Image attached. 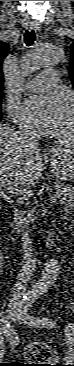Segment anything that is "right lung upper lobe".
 <instances>
[{
    "instance_id": "cb5924a9",
    "label": "right lung upper lobe",
    "mask_w": 74,
    "mask_h": 366,
    "mask_svg": "<svg viewBox=\"0 0 74 366\" xmlns=\"http://www.w3.org/2000/svg\"><path fill=\"white\" fill-rule=\"evenodd\" d=\"M8 53H9V44L5 42H0V93L2 92V87L4 83V77L2 73V62L4 58L8 55Z\"/></svg>"
}]
</instances>
